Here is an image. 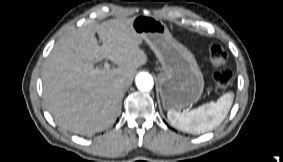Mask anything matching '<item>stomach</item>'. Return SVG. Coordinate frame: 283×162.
<instances>
[{"label":"stomach","instance_id":"0dacf381","mask_svg":"<svg viewBox=\"0 0 283 162\" xmlns=\"http://www.w3.org/2000/svg\"><path fill=\"white\" fill-rule=\"evenodd\" d=\"M129 27L139 43L146 41L161 63L158 84L164 108L181 109L196 103L202 95L204 79L193 53L153 16H136Z\"/></svg>","mask_w":283,"mask_h":162}]
</instances>
